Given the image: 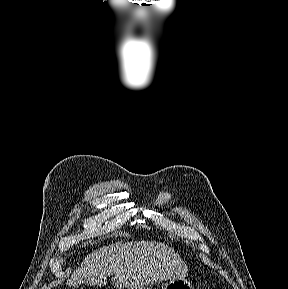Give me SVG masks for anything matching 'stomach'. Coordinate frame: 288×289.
<instances>
[{
  "instance_id": "stomach-1",
  "label": "stomach",
  "mask_w": 288,
  "mask_h": 289,
  "mask_svg": "<svg viewBox=\"0 0 288 289\" xmlns=\"http://www.w3.org/2000/svg\"><path fill=\"white\" fill-rule=\"evenodd\" d=\"M145 289H150L146 287ZM162 289H193L190 282L183 278L169 280L165 284L162 285Z\"/></svg>"
}]
</instances>
